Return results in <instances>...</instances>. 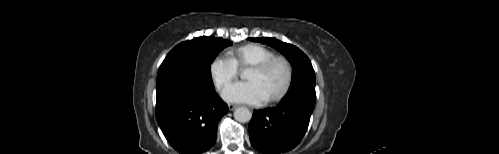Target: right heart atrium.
<instances>
[{"mask_svg":"<svg viewBox=\"0 0 499 154\" xmlns=\"http://www.w3.org/2000/svg\"><path fill=\"white\" fill-rule=\"evenodd\" d=\"M238 73V67L227 56H217L209 65L210 78L218 90L231 83Z\"/></svg>","mask_w":499,"mask_h":154,"instance_id":"obj_1","label":"right heart atrium"}]
</instances>
